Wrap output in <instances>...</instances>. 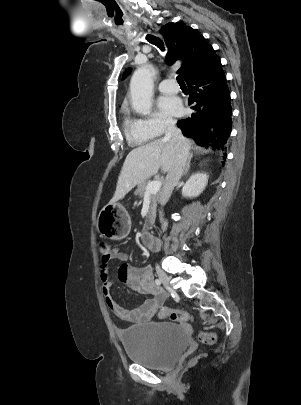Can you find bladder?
Listing matches in <instances>:
<instances>
[{
    "label": "bladder",
    "mask_w": 301,
    "mask_h": 405,
    "mask_svg": "<svg viewBox=\"0 0 301 405\" xmlns=\"http://www.w3.org/2000/svg\"><path fill=\"white\" fill-rule=\"evenodd\" d=\"M119 337L129 360L156 370L171 368L189 344L185 327L171 322L131 326Z\"/></svg>",
    "instance_id": "1"
}]
</instances>
